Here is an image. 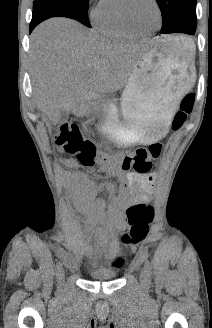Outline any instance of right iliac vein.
<instances>
[{"label": "right iliac vein", "instance_id": "1", "mask_svg": "<svg viewBox=\"0 0 212 328\" xmlns=\"http://www.w3.org/2000/svg\"><path fill=\"white\" fill-rule=\"evenodd\" d=\"M64 271L63 269L60 271L59 275H58V283L62 284L64 282Z\"/></svg>", "mask_w": 212, "mask_h": 328}]
</instances>
